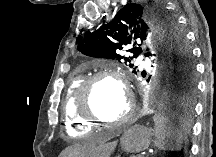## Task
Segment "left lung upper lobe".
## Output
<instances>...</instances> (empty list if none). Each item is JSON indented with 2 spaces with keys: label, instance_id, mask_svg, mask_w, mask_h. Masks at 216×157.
Returning a JSON list of instances; mask_svg holds the SVG:
<instances>
[{
  "label": "left lung upper lobe",
  "instance_id": "1",
  "mask_svg": "<svg viewBox=\"0 0 216 157\" xmlns=\"http://www.w3.org/2000/svg\"><path fill=\"white\" fill-rule=\"evenodd\" d=\"M124 47L131 57L119 54ZM78 50L87 56L126 62L144 53L155 57L163 82L171 80L178 90L196 82L185 36L175 18L160 5H125L109 23L82 38Z\"/></svg>",
  "mask_w": 216,
  "mask_h": 157
}]
</instances>
